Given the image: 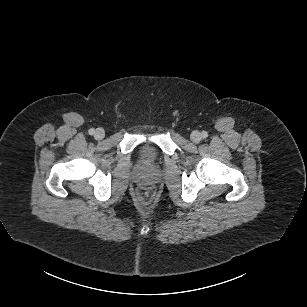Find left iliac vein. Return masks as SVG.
<instances>
[{"label":"left iliac vein","mask_w":307,"mask_h":307,"mask_svg":"<svg viewBox=\"0 0 307 307\" xmlns=\"http://www.w3.org/2000/svg\"><path fill=\"white\" fill-rule=\"evenodd\" d=\"M190 138L194 143H199L202 139V135L199 131H193L190 135Z\"/></svg>","instance_id":"obj_1"}]
</instances>
